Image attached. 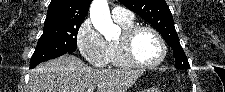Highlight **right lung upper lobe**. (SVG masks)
Segmentation results:
<instances>
[{
    "label": "right lung upper lobe",
    "instance_id": "obj_1",
    "mask_svg": "<svg viewBox=\"0 0 225 92\" xmlns=\"http://www.w3.org/2000/svg\"><path fill=\"white\" fill-rule=\"evenodd\" d=\"M92 0H52L44 25L83 21Z\"/></svg>",
    "mask_w": 225,
    "mask_h": 92
}]
</instances>
